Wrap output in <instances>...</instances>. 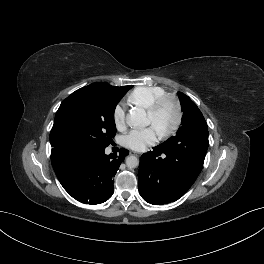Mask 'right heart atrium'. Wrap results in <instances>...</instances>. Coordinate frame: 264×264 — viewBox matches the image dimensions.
<instances>
[{
    "label": "right heart atrium",
    "instance_id": "d8ad5b80",
    "mask_svg": "<svg viewBox=\"0 0 264 264\" xmlns=\"http://www.w3.org/2000/svg\"><path fill=\"white\" fill-rule=\"evenodd\" d=\"M113 122L117 129L123 130L126 126L125 110L123 106L117 105L113 111Z\"/></svg>",
    "mask_w": 264,
    "mask_h": 264
}]
</instances>
